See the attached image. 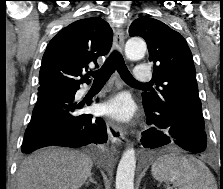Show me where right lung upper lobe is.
<instances>
[{"label": "right lung upper lobe", "instance_id": "right-lung-upper-lobe-1", "mask_svg": "<svg viewBox=\"0 0 223 189\" xmlns=\"http://www.w3.org/2000/svg\"><path fill=\"white\" fill-rule=\"evenodd\" d=\"M113 31L99 17L75 21L63 28L47 45L39 72V92L79 88L88 83L84 74L89 64L106 55L112 45ZM77 77H81L78 79Z\"/></svg>", "mask_w": 223, "mask_h": 189}]
</instances>
